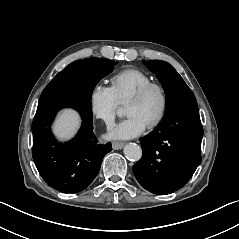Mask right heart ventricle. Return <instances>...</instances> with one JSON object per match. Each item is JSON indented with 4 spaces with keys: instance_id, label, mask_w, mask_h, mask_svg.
Listing matches in <instances>:
<instances>
[{
    "instance_id": "1",
    "label": "right heart ventricle",
    "mask_w": 239,
    "mask_h": 239,
    "mask_svg": "<svg viewBox=\"0 0 239 239\" xmlns=\"http://www.w3.org/2000/svg\"><path fill=\"white\" fill-rule=\"evenodd\" d=\"M112 87L121 103H127L129 98L143 85L152 81L151 76L137 68L123 69L110 78Z\"/></svg>"
}]
</instances>
